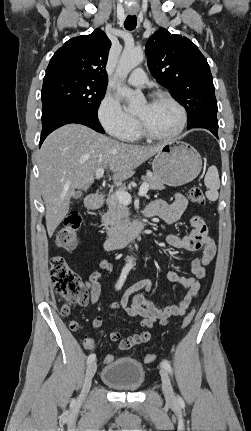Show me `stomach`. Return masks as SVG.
Here are the masks:
<instances>
[{"instance_id": "obj_1", "label": "stomach", "mask_w": 251, "mask_h": 431, "mask_svg": "<svg viewBox=\"0 0 251 431\" xmlns=\"http://www.w3.org/2000/svg\"><path fill=\"white\" fill-rule=\"evenodd\" d=\"M156 178L168 186H182L194 180L201 171L199 153L182 141L165 143L152 163Z\"/></svg>"}]
</instances>
